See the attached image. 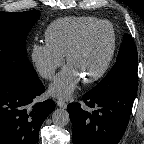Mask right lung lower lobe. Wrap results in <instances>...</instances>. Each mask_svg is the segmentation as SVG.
I'll use <instances>...</instances> for the list:
<instances>
[{"instance_id": "1", "label": "right lung lower lobe", "mask_w": 144, "mask_h": 144, "mask_svg": "<svg viewBox=\"0 0 144 144\" xmlns=\"http://www.w3.org/2000/svg\"><path fill=\"white\" fill-rule=\"evenodd\" d=\"M45 91L40 80L33 85L0 81V144H38L39 130L55 102H36Z\"/></svg>"}]
</instances>
